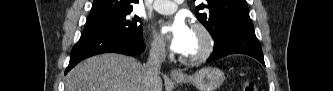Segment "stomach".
Segmentation results:
<instances>
[{
	"instance_id": "1",
	"label": "stomach",
	"mask_w": 333,
	"mask_h": 91,
	"mask_svg": "<svg viewBox=\"0 0 333 91\" xmlns=\"http://www.w3.org/2000/svg\"><path fill=\"white\" fill-rule=\"evenodd\" d=\"M174 80L179 84L191 83L199 91H215L224 82L225 75L218 68L205 67L192 76L177 77Z\"/></svg>"
}]
</instances>
